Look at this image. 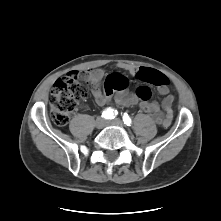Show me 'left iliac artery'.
Here are the masks:
<instances>
[{"instance_id":"left-iliac-artery-1","label":"left iliac artery","mask_w":221,"mask_h":221,"mask_svg":"<svg viewBox=\"0 0 221 221\" xmlns=\"http://www.w3.org/2000/svg\"><path fill=\"white\" fill-rule=\"evenodd\" d=\"M123 122H124V124H126L128 126H130V124H131V119L127 113H124V115H123Z\"/></svg>"}]
</instances>
